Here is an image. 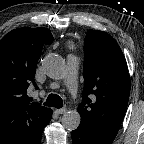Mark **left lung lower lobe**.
I'll return each mask as SVG.
<instances>
[{
  "label": "left lung lower lobe",
  "instance_id": "0a47b994",
  "mask_svg": "<svg viewBox=\"0 0 144 144\" xmlns=\"http://www.w3.org/2000/svg\"><path fill=\"white\" fill-rule=\"evenodd\" d=\"M73 144H112L113 140L93 137L78 127L71 133Z\"/></svg>",
  "mask_w": 144,
  "mask_h": 144
}]
</instances>
